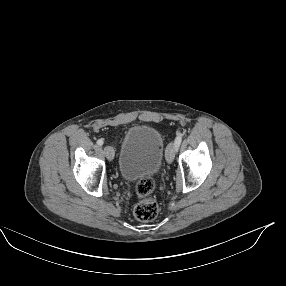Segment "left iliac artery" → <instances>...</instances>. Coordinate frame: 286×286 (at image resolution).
<instances>
[{
  "label": "left iliac artery",
  "mask_w": 286,
  "mask_h": 286,
  "mask_svg": "<svg viewBox=\"0 0 286 286\" xmlns=\"http://www.w3.org/2000/svg\"><path fill=\"white\" fill-rule=\"evenodd\" d=\"M182 141V134H178L177 137L175 138V145L178 149L179 145L181 144Z\"/></svg>",
  "instance_id": "left-iliac-artery-1"
}]
</instances>
